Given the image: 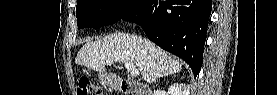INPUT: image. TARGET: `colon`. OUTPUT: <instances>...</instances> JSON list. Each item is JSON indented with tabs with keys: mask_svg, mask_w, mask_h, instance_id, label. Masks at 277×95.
Listing matches in <instances>:
<instances>
[{
	"mask_svg": "<svg viewBox=\"0 0 277 95\" xmlns=\"http://www.w3.org/2000/svg\"><path fill=\"white\" fill-rule=\"evenodd\" d=\"M77 91H78L79 95H87V94L101 95V94H103L101 87L91 83V81L87 78H82L79 81Z\"/></svg>",
	"mask_w": 277,
	"mask_h": 95,
	"instance_id": "obj_1",
	"label": "colon"
}]
</instances>
